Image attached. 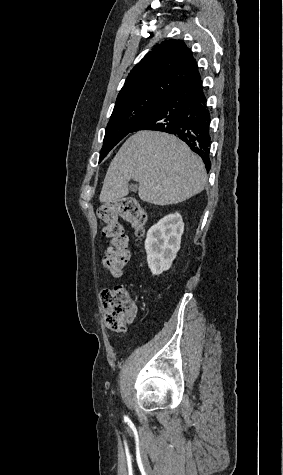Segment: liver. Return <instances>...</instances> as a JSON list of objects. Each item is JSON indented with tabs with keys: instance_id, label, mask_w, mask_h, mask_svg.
<instances>
[{
	"instance_id": "6515ba94",
	"label": "liver",
	"mask_w": 283,
	"mask_h": 475,
	"mask_svg": "<svg viewBox=\"0 0 283 475\" xmlns=\"http://www.w3.org/2000/svg\"><path fill=\"white\" fill-rule=\"evenodd\" d=\"M139 182V198L155 206L184 202L205 188L204 164L187 144L164 132H137L113 158L103 182L100 202L128 196L129 180Z\"/></svg>"
}]
</instances>
